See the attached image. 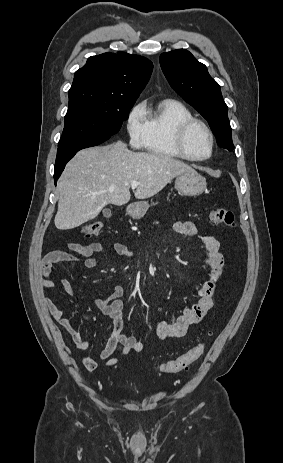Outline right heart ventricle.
<instances>
[{
	"label": "right heart ventricle",
	"instance_id": "right-heart-ventricle-1",
	"mask_svg": "<svg viewBox=\"0 0 283 463\" xmlns=\"http://www.w3.org/2000/svg\"><path fill=\"white\" fill-rule=\"evenodd\" d=\"M146 133L143 147L150 153L175 159H183L175 145L178 127L193 118L182 102L164 99L154 107L145 109Z\"/></svg>",
	"mask_w": 283,
	"mask_h": 463
}]
</instances>
